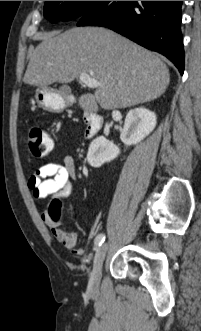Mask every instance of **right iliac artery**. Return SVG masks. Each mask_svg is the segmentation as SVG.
I'll return each mask as SVG.
<instances>
[{"instance_id": "82829eb1", "label": "right iliac artery", "mask_w": 201, "mask_h": 331, "mask_svg": "<svg viewBox=\"0 0 201 331\" xmlns=\"http://www.w3.org/2000/svg\"><path fill=\"white\" fill-rule=\"evenodd\" d=\"M105 240V235L104 234H99L96 236L95 240H94V243H95V246H100Z\"/></svg>"}]
</instances>
